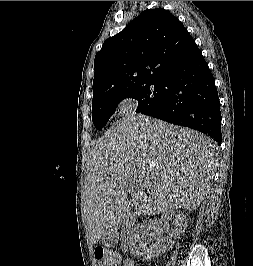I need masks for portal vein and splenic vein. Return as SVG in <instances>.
<instances>
[{
	"mask_svg": "<svg viewBox=\"0 0 253 266\" xmlns=\"http://www.w3.org/2000/svg\"><path fill=\"white\" fill-rule=\"evenodd\" d=\"M133 182L136 183V184H141V181L138 180L137 178H132Z\"/></svg>",
	"mask_w": 253,
	"mask_h": 266,
	"instance_id": "obj_1",
	"label": "portal vein and splenic vein"
}]
</instances>
